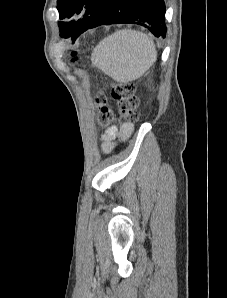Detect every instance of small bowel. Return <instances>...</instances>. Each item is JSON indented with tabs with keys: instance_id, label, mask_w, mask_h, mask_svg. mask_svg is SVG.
I'll use <instances>...</instances> for the list:
<instances>
[{
	"instance_id": "1",
	"label": "small bowel",
	"mask_w": 227,
	"mask_h": 298,
	"mask_svg": "<svg viewBox=\"0 0 227 298\" xmlns=\"http://www.w3.org/2000/svg\"><path fill=\"white\" fill-rule=\"evenodd\" d=\"M133 131V125L130 123H123L119 127L116 125L110 126L102 134L101 149L104 153H109L113 147L115 140H126Z\"/></svg>"
}]
</instances>
